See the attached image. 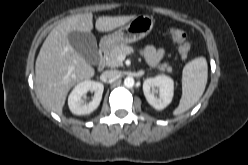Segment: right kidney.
Wrapping results in <instances>:
<instances>
[{
  "mask_svg": "<svg viewBox=\"0 0 248 165\" xmlns=\"http://www.w3.org/2000/svg\"><path fill=\"white\" fill-rule=\"evenodd\" d=\"M104 85L100 82L85 80L77 84L68 97V106L70 111L75 115L90 114L99 106ZM94 92L92 101L84 103L82 97L88 92Z\"/></svg>",
  "mask_w": 248,
  "mask_h": 165,
  "instance_id": "ca27d5eb",
  "label": "right kidney"
}]
</instances>
